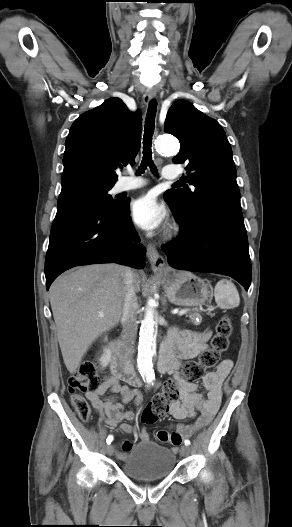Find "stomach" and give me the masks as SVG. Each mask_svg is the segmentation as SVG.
<instances>
[{
    "instance_id": "obj_1",
    "label": "stomach",
    "mask_w": 292,
    "mask_h": 527,
    "mask_svg": "<svg viewBox=\"0 0 292 527\" xmlns=\"http://www.w3.org/2000/svg\"><path fill=\"white\" fill-rule=\"evenodd\" d=\"M169 301L180 306H199L210 297L209 285L187 271L170 269L160 275Z\"/></svg>"
}]
</instances>
